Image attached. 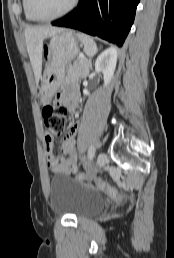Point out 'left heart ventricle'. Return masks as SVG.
Here are the masks:
<instances>
[{"label": "left heart ventricle", "instance_id": "obj_1", "mask_svg": "<svg viewBox=\"0 0 174 258\" xmlns=\"http://www.w3.org/2000/svg\"><path fill=\"white\" fill-rule=\"evenodd\" d=\"M72 0H31L35 14L41 17L56 15L66 9Z\"/></svg>", "mask_w": 174, "mask_h": 258}]
</instances>
